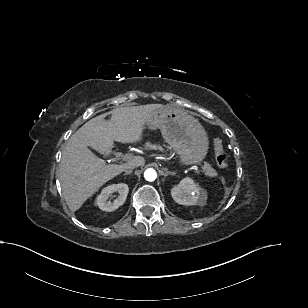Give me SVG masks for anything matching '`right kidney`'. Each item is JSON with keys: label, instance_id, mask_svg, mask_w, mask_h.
Instances as JSON below:
<instances>
[{"label": "right kidney", "instance_id": "obj_1", "mask_svg": "<svg viewBox=\"0 0 308 308\" xmlns=\"http://www.w3.org/2000/svg\"><path fill=\"white\" fill-rule=\"evenodd\" d=\"M129 187L125 183L112 184L105 187L96 199V204L102 211L111 212L124 204L128 195ZM118 192L119 196L113 201H108L110 195Z\"/></svg>", "mask_w": 308, "mask_h": 308}]
</instances>
